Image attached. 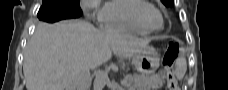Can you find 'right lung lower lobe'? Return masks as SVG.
<instances>
[{"instance_id":"98d812e1","label":"right lung lower lobe","mask_w":228,"mask_h":90,"mask_svg":"<svg viewBox=\"0 0 228 90\" xmlns=\"http://www.w3.org/2000/svg\"><path fill=\"white\" fill-rule=\"evenodd\" d=\"M38 18L46 22H56L62 19L72 18L65 13H62L56 6L52 4H42L38 14Z\"/></svg>"}]
</instances>
